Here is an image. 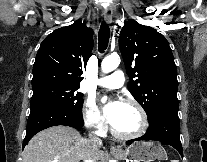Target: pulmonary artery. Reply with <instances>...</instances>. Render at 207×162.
Masks as SVG:
<instances>
[{"label":"pulmonary artery","mask_w":207,"mask_h":162,"mask_svg":"<svg viewBox=\"0 0 207 162\" xmlns=\"http://www.w3.org/2000/svg\"><path fill=\"white\" fill-rule=\"evenodd\" d=\"M97 84L107 89H118L124 84V75L121 71L116 70L112 74L98 79Z\"/></svg>","instance_id":"e3ab8cb5"}]
</instances>
